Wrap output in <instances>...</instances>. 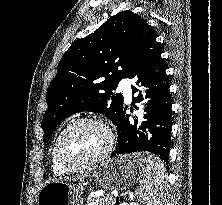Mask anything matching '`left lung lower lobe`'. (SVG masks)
<instances>
[{
    "label": "left lung lower lobe",
    "mask_w": 222,
    "mask_h": 205,
    "mask_svg": "<svg viewBox=\"0 0 222 205\" xmlns=\"http://www.w3.org/2000/svg\"><path fill=\"white\" fill-rule=\"evenodd\" d=\"M153 32L136 62L131 67L127 77L138 78L136 84L149 87L146 98L149 100L145 111L147 114L137 131V120L130 124L129 115L122 110L115 125L118 127V143L111 157L120 154H132L139 151H149L168 163L170 151V134L172 127V101L169 92L168 76L165 60L161 58V50ZM132 86V93L137 92ZM142 94L133 98V104L141 101Z\"/></svg>",
    "instance_id": "0a47b994"
}]
</instances>
